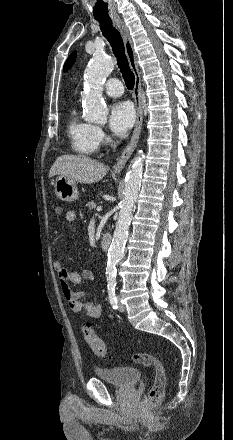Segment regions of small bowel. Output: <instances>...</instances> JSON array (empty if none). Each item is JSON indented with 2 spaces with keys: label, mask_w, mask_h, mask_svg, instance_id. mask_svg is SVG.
I'll use <instances>...</instances> for the list:
<instances>
[{
  "label": "small bowel",
  "mask_w": 233,
  "mask_h": 440,
  "mask_svg": "<svg viewBox=\"0 0 233 440\" xmlns=\"http://www.w3.org/2000/svg\"><path fill=\"white\" fill-rule=\"evenodd\" d=\"M68 222H74L77 219V213L69 210L65 214ZM54 269L57 273L61 292L67 301L70 309L75 313H83L90 318H99L102 313L101 305L91 300V294L86 291L73 290L71 285H78L82 281L94 282L95 274L90 269L82 271H73L65 267L59 259L54 261Z\"/></svg>",
  "instance_id": "obj_1"
}]
</instances>
